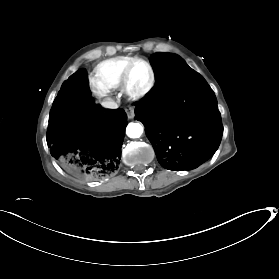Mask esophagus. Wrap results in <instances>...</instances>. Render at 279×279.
<instances>
[{
	"label": "esophagus",
	"mask_w": 279,
	"mask_h": 279,
	"mask_svg": "<svg viewBox=\"0 0 279 279\" xmlns=\"http://www.w3.org/2000/svg\"><path fill=\"white\" fill-rule=\"evenodd\" d=\"M128 118H134L135 113H134V106H130L126 109Z\"/></svg>",
	"instance_id": "34e87169"
}]
</instances>
